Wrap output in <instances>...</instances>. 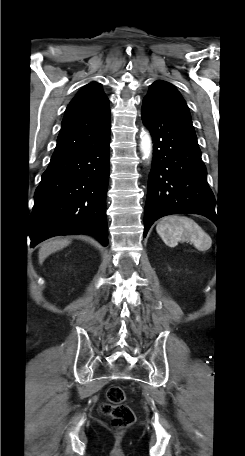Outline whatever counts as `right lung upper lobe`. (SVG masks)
Here are the masks:
<instances>
[{"label": "right lung upper lobe", "instance_id": "1", "mask_svg": "<svg viewBox=\"0 0 245 456\" xmlns=\"http://www.w3.org/2000/svg\"><path fill=\"white\" fill-rule=\"evenodd\" d=\"M109 99L97 82L83 87L68 105L52 157L91 145L110 125Z\"/></svg>", "mask_w": 245, "mask_h": 456}]
</instances>
